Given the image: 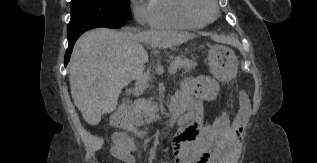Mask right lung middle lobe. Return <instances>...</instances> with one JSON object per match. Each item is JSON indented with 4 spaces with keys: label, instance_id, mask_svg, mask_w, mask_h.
Returning a JSON list of instances; mask_svg holds the SVG:
<instances>
[{
    "label": "right lung middle lobe",
    "instance_id": "obj_1",
    "mask_svg": "<svg viewBox=\"0 0 317 163\" xmlns=\"http://www.w3.org/2000/svg\"><path fill=\"white\" fill-rule=\"evenodd\" d=\"M68 37L99 23H124L131 18L129 0H71Z\"/></svg>",
    "mask_w": 317,
    "mask_h": 163
}]
</instances>
